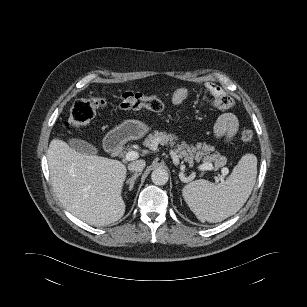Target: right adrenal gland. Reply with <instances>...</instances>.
<instances>
[{"label": "right adrenal gland", "instance_id": "right-adrenal-gland-1", "mask_svg": "<svg viewBox=\"0 0 307 307\" xmlns=\"http://www.w3.org/2000/svg\"><path fill=\"white\" fill-rule=\"evenodd\" d=\"M141 175V173H135L131 178L127 180V184H129V191H131L134 187V182Z\"/></svg>", "mask_w": 307, "mask_h": 307}]
</instances>
